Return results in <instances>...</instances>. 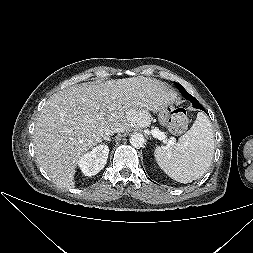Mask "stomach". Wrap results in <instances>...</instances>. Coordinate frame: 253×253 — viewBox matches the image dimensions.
<instances>
[{
	"mask_svg": "<svg viewBox=\"0 0 253 253\" xmlns=\"http://www.w3.org/2000/svg\"><path fill=\"white\" fill-rule=\"evenodd\" d=\"M158 112H159V116H158L159 123L162 126H167L169 124L168 108H167V106L161 107Z\"/></svg>",
	"mask_w": 253,
	"mask_h": 253,
	"instance_id": "0dacf381",
	"label": "stomach"
}]
</instances>
